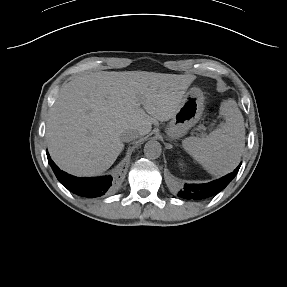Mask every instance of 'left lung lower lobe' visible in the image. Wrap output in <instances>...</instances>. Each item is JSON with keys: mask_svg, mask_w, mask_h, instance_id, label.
I'll return each mask as SVG.
<instances>
[{"mask_svg": "<svg viewBox=\"0 0 287 287\" xmlns=\"http://www.w3.org/2000/svg\"><path fill=\"white\" fill-rule=\"evenodd\" d=\"M241 165H239L234 172L206 184H186L184 188L179 192V196L186 199L202 200L208 198L222 189H224L229 182L235 177L239 171Z\"/></svg>", "mask_w": 287, "mask_h": 287, "instance_id": "left-lung-lower-lobe-1", "label": "left lung lower lobe"}]
</instances>
